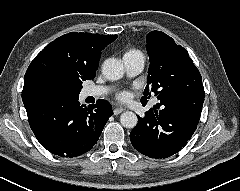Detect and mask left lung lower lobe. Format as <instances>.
<instances>
[{"instance_id": "left-lung-lower-lobe-1", "label": "left lung lower lobe", "mask_w": 240, "mask_h": 191, "mask_svg": "<svg viewBox=\"0 0 240 191\" xmlns=\"http://www.w3.org/2000/svg\"><path fill=\"white\" fill-rule=\"evenodd\" d=\"M204 102L201 83L163 105H155L139 117L130 133L133 147L151 158H167L181 150L195 132Z\"/></svg>"}]
</instances>
